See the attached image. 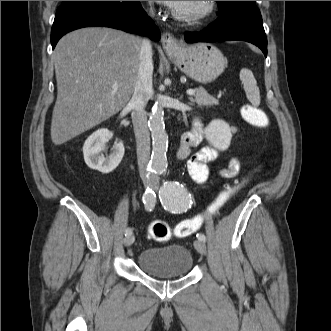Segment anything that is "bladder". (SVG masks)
<instances>
[{
    "instance_id": "1",
    "label": "bladder",
    "mask_w": 331,
    "mask_h": 331,
    "mask_svg": "<svg viewBox=\"0 0 331 331\" xmlns=\"http://www.w3.org/2000/svg\"><path fill=\"white\" fill-rule=\"evenodd\" d=\"M139 268L149 277L174 279L187 276L193 268V256L185 245L171 243L142 250L138 257Z\"/></svg>"
}]
</instances>
